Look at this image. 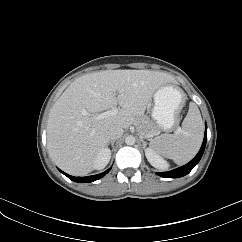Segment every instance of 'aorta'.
<instances>
[{
    "label": "aorta",
    "mask_w": 242,
    "mask_h": 242,
    "mask_svg": "<svg viewBox=\"0 0 242 242\" xmlns=\"http://www.w3.org/2000/svg\"><path fill=\"white\" fill-rule=\"evenodd\" d=\"M135 142H136L135 137L132 136V135L127 136V137L125 138V143H126L127 145H134Z\"/></svg>",
    "instance_id": "762f6f07"
}]
</instances>
